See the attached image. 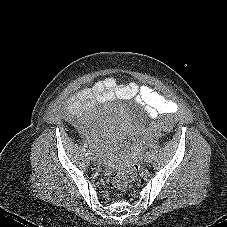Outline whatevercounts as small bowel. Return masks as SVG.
I'll use <instances>...</instances> for the list:
<instances>
[{
	"instance_id": "obj_1",
	"label": "small bowel",
	"mask_w": 227,
	"mask_h": 227,
	"mask_svg": "<svg viewBox=\"0 0 227 227\" xmlns=\"http://www.w3.org/2000/svg\"><path fill=\"white\" fill-rule=\"evenodd\" d=\"M113 97L137 99L147 108L153 118L164 114H175L179 110L175 100L163 98L149 86H139L136 83L122 85L113 77H106L96 81L90 87L80 89L69 98L65 104V110L69 117L76 119L78 127L85 133V113L97 102ZM88 141L91 148L98 153L115 147L114 142L107 137H91Z\"/></svg>"
}]
</instances>
